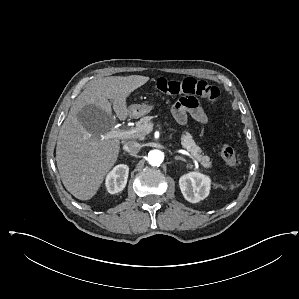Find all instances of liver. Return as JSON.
<instances>
[{"label": "liver", "mask_w": 299, "mask_h": 299, "mask_svg": "<svg viewBox=\"0 0 299 299\" xmlns=\"http://www.w3.org/2000/svg\"><path fill=\"white\" fill-rule=\"evenodd\" d=\"M148 80L141 75L95 79L74 101L59 131L56 161L65 188L75 198L91 199L117 161L119 139L101 138L115 126L111 105L125 120L130 113L127 97Z\"/></svg>", "instance_id": "liver-1"}]
</instances>
